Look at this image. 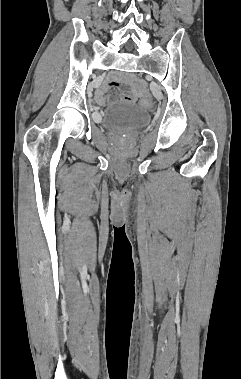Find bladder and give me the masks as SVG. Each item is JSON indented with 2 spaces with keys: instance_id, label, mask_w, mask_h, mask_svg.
<instances>
[{
  "instance_id": "31cf9c89",
  "label": "bladder",
  "mask_w": 241,
  "mask_h": 379,
  "mask_svg": "<svg viewBox=\"0 0 241 379\" xmlns=\"http://www.w3.org/2000/svg\"><path fill=\"white\" fill-rule=\"evenodd\" d=\"M150 113L137 105L118 103L110 106L101 116V124L113 130L134 131L149 124Z\"/></svg>"
}]
</instances>
